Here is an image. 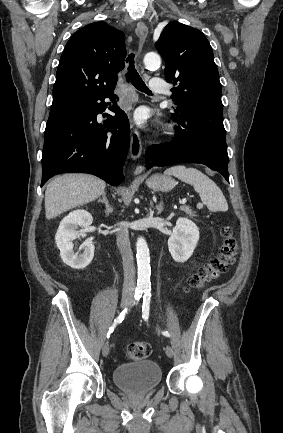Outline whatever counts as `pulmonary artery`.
I'll list each match as a JSON object with an SVG mask.
<instances>
[{"label": "pulmonary artery", "instance_id": "1", "mask_svg": "<svg viewBox=\"0 0 283 433\" xmlns=\"http://www.w3.org/2000/svg\"><path fill=\"white\" fill-rule=\"evenodd\" d=\"M149 89L151 92H164L165 90V80L163 78H152L150 80ZM164 93H168V90Z\"/></svg>", "mask_w": 283, "mask_h": 433}]
</instances>
